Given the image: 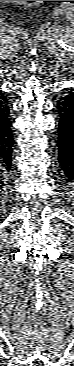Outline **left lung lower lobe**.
I'll return each instance as SVG.
<instances>
[{"mask_svg":"<svg viewBox=\"0 0 74 366\" xmlns=\"http://www.w3.org/2000/svg\"><path fill=\"white\" fill-rule=\"evenodd\" d=\"M56 111L60 117L56 134L58 160L64 175L71 179L74 178V88L64 89Z\"/></svg>","mask_w":74,"mask_h":366,"instance_id":"obj_1","label":"left lung lower lobe"}]
</instances>
